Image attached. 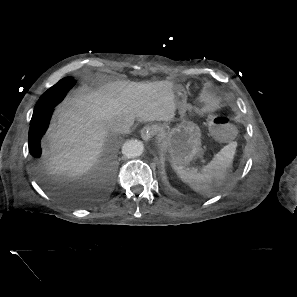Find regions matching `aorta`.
Listing matches in <instances>:
<instances>
[{
  "mask_svg": "<svg viewBox=\"0 0 297 297\" xmlns=\"http://www.w3.org/2000/svg\"><path fill=\"white\" fill-rule=\"evenodd\" d=\"M144 145L139 140H128L122 146V154L127 158L138 157L143 153Z\"/></svg>",
  "mask_w": 297,
  "mask_h": 297,
  "instance_id": "aorta-1",
  "label": "aorta"
}]
</instances>
